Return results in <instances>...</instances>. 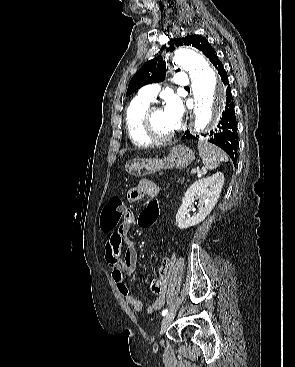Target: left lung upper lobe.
<instances>
[{"instance_id":"5c2ea615","label":"left lung upper lobe","mask_w":295,"mask_h":367,"mask_svg":"<svg viewBox=\"0 0 295 367\" xmlns=\"http://www.w3.org/2000/svg\"><path fill=\"white\" fill-rule=\"evenodd\" d=\"M184 45H190L197 48L210 60L211 63L217 58L213 47L209 44L206 38L200 35H188L183 38L172 39L168 50L172 52L175 48ZM177 71H179V69ZM165 74L166 65L162 56H158L147 61L132 77L128 85L126 96H129L144 85L163 81Z\"/></svg>"}]
</instances>
